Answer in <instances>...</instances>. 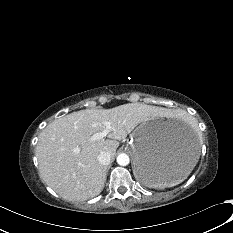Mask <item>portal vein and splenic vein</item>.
<instances>
[{
    "label": "portal vein and splenic vein",
    "mask_w": 233,
    "mask_h": 233,
    "mask_svg": "<svg viewBox=\"0 0 233 233\" xmlns=\"http://www.w3.org/2000/svg\"><path fill=\"white\" fill-rule=\"evenodd\" d=\"M104 125L106 126L105 130L93 134L90 138L91 141L100 140L107 136V134L111 131V125L109 122H104Z\"/></svg>",
    "instance_id": "1"
}]
</instances>
